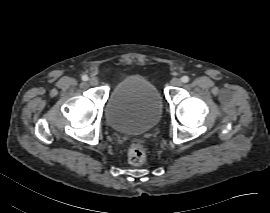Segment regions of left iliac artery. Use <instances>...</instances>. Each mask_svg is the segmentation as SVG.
Segmentation results:
<instances>
[{
	"label": "left iliac artery",
	"mask_w": 270,
	"mask_h": 213,
	"mask_svg": "<svg viewBox=\"0 0 270 213\" xmlns=\"http://www.w3.org/2000/svg\"><path fill=\"white\" fill-rule=\"evenodd\" d=\"M181 81H182L183 83H187V82H189V77H188V76H183V77L181 78Z\"/></svg>",
	"instance_id": "obj_1"
}]
</instances>
